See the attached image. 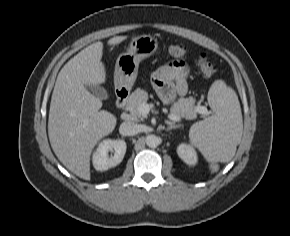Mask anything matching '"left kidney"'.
I'll use <instances>...</instances> for the list:
<instances>
[{"instance_id":"obj_1","label":"left kidney","mask_w":290,"mask_h":236,"mask_svg":"<svg viewBox=\"0 0 290 236\" xmlns=\"http://www.w3.org/2000/svg\"><path fill=\"white\" fill-rule=\"evenodd\" d=\"M177 154L188 165L197 163V153L190 145L180 144L177 148Z\"/></svg>"}]
</instances>
